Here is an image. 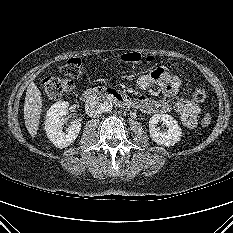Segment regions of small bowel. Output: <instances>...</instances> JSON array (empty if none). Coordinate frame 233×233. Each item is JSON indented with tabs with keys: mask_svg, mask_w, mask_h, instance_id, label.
<instances>
[{
	"mask_svg": "<svg viewBox=\"0 0 233 233\" xmlns=\"http://www.w3.org/2000/svg\"><path fill=\"white\" fill-rule=\"evenodd\" d=\"M137 84L140 89L146 90L152 84L162 89V98L152 99L147 96H139L136 99V107L145 113H166L176 111L180 116L183 125L192 129L197 124V117L200 112L198 104L189 99L174 101L182 82L164 67L154 69L150 74L141 75Z\"/></svg>",
	"mask_w": 233,
	"mask_h": 233,
	"instance_id": "obj_1",
	"label": "small bowel"
}]
</instances>
